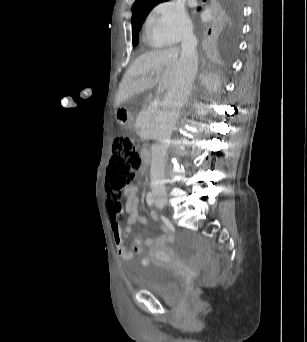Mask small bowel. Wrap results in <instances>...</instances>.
Returning a JSON list of instances; mask_svg holds the SVG:
<instances>
[{
    "mask_svg": "<svg viewBox=\"0 0 307 342\" xmlns=\"http://www.w3.org/2000/svg\"><path fill=\"white\" fill-rule=\"evenodd\" d=\"M128 194V201L126 204V211L128 214V224L126 229L121 227L119 221V214L116 211L115 206H107L108 216L110 220V227L113 236V242L117 248L118 255L124 260H131L134 256L132 250L126 245V238L131 228L136 223H140L144 227H148L147 220L140 214L139 200L137 196L138 189L136 186H130L126 190ZM154 220H157V214L153 212L151 214ZM170 241L168 230L165 226L161 227V234L158 237H148L144 240L143 246L149 247L153 252L159 251L165 248L166 244Z\"/></svg>",
    "mask_w": 307,
    "mask_h": 342,
    "instance_id": "c3829d8e",
    "label": "small bowel"
}]
</instances>
